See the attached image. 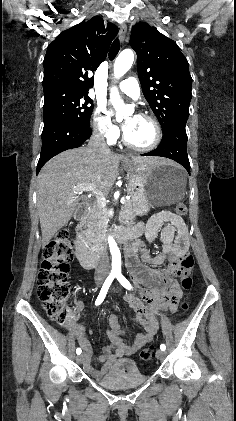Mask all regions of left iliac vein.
Instances as JSON below:
<instances>
[{
    "label": "left iliac vein",
    "mask_w": 236,
    "mask_h": 421,
    "mask_svg": "<svg viewBox=\"0 0 236 421\" xmlns=\"http://www.w3.org/2000/svg\"><path fill=\"white\" fill-rule=\"evenodd\" d=\"M156 356H157L158 359H162V358L165 357V352L162 351V350H157L156 351Z\"/></svg>",
    "instance_id": "obj_1"
}]
</instances>
